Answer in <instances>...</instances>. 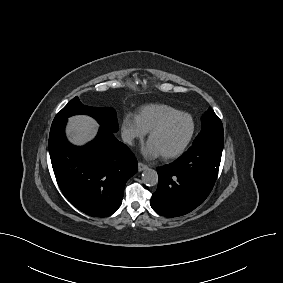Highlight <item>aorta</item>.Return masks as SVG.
Listing matches in <instances>:
<instances>
[{
	"mask_svg": "<svg viewBox=\"0 0 283 283\" xmlns=\"http://www.w3.org/2000/svg\"><path fill=\"white\" fill-rule=\"evenodd\" d=\"M142 181L148 186H155L158 183V174L153 169H146L142 173Z\"/></svg>",
	"mask_w": 283,
	"mask_h": 283,
	"instance_id": "762f6f07",
	"label": "aorta"
}]
</instances>
